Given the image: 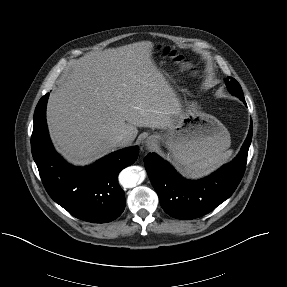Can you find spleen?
<instances>
[{
	"mask_svg": "<svg viewBox=\"0 0 287 287\" xmlns=\"http://www.w3.org/2000/svg\"><path fill=\"white\" fill-rule=\"evenodd\" d=\"M231 155L232 151L229 150L225 153H221L219 155L198 161L186 167L185 171L193 178H199L208 175L226 163Z\"/></svg>",
	"mask_w": 287,
	"mask_h": 287,
	"instance_id": "1",
	"label": "spleen"
}]
</instances>
